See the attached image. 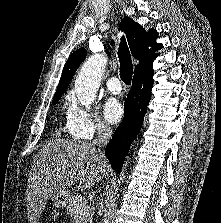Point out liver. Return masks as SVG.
<instances>
[{
    "label": "liver",
    "instance_id": "obj_1",
    "mask_svg": "<svg viewBox=\"0 0 221 223\" xmlns=\"http://www.w3.org/2000/svg\"><path fill=\"white\" fill-rule=\"evenodd\" d=\"M109 165L100 151L85 141L55 140L35 155L28 177L29 223H37L46 202L79 182L88 189L108 174Z\"/></svg>",
    "mask_w": 221,
    "mask_h": 223
}]
</instances>
